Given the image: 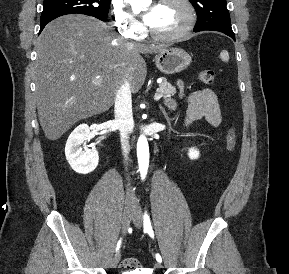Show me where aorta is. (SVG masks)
<instances>
[{
    "instance_id": "aorta-1",
    "label": "aorta",
    "mask_w": 289,
    "mask_h": 274,
    "mask_svg": "<svg viewBox=\"0 0 289 274\" xmlns=\"http://www.w3.org/2000/svg\"><path fill=\"white\" fill-rule=\"evenodd\" d=\"M130 1L135 2L138 0H130ZM137 157L141 177L145 178L149 166V146L147 138L144 135H141L137 142Z\"/></svg>"
}]
</instances>
